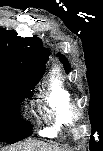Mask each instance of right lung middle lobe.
<instances>
[{"instance_id":"right-lung-middle-lobe-1","label":"right lung middle lobe","mask_w":103,"mask_h":151,"mask_svg":"<svg viewBox=\"0 0 103 151\" xmlns=\"http://www.w3.org/2000/svg\"><path fill=\"white\" fill-rule=\"evenodd\" d=\"M40 78L31 80L21 87H11L7 81L0 79V139L10 144L27 138L32 130L30 123L20 120L19 103L30 98L32 90Z\"/></svg>"}]
</instances>
